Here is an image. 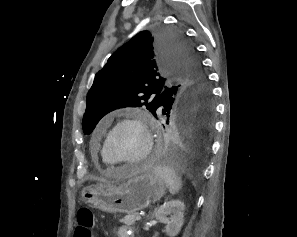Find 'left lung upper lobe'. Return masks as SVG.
Instances as JSON below:
<instances>
[{"mask_svg":"<svg viewBox=\"0 0 297 237\" xmlns=\"http://www.w3.org/2000/svg\"><path fill=\"white\" fill-rule=\"evenodd\" d=\"M170 99L191 105L212 100L201 63L180 32L142 31L96 74L87 94L83 131L90 134L104 115L121 107L145 106L158 117L166 113Z\"/></svg>","mask_w":297,"mask_h":237,"instance_id":"5c2ea615","label":"left lung upper lobe"}]
</instances>
